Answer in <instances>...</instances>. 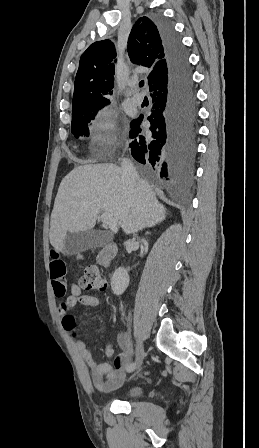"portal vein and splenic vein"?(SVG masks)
<instances>
[{
  "label": "portal vein and splenic vein",
  "instance_id": "1",
  "mask_svg": "<svg viewBox=\"0 0 259 448\" xmlns=\"http://www.w3.org/2000/svg\"><path fill=\"white\" fill-rule=\"evenodd\" d=\"M101 218V222H103V224H107V226H109V228H111L112 232H117L118 228H117V222H115L114 218H112V216H110V214H102V216H100Z\"/></svg>",
  "mask_w": 259,
  "mask_h": 448
}]
</instances>
